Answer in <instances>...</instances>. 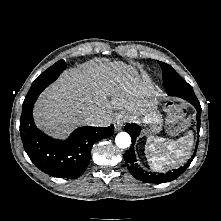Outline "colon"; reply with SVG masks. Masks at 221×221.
Instances as JSON below:
<instances>
[{"label": "colon", "mask_w": 221, "mask_h": 221, "mask_svg": "<svg viewBox=\"0 0 221 221\" xmlns=\"http://www.w3.org/2000/svg\"><path fill=\"white\" fill-rule=\"evenodd\" d=\"M187 124L185 107L182 104H174L170 110L167 129L171 133L180 132Z\"/></svg>", "instance_id": "colon-1"}]
</instances>
